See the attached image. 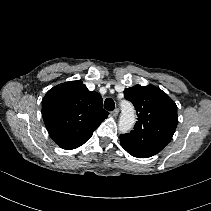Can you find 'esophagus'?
Listing matches in <instances>:
<instances>
[{"label":"esophagus","mask_w":211,"mask_h":211,"mask_svg":"<svg viewBox=\"0 0 211 211\" xmlns=\"http://www.w3.org/2000/svg\"><path fill=\"white\" fill-rule=\"evenodd\" d=\"M118 113H119V109L116 108L111 114L113 117H117Z\"/></svg>","instance_id":"obj_1"}]
</instances>
